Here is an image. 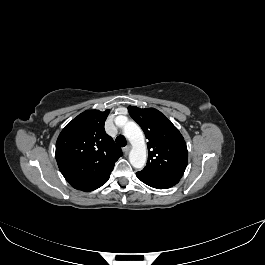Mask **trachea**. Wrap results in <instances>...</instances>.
<instances>
[{
	"instance_id": "obj_1",
	"label": "trachea",
	"mask_w": 265,
	"mask_h": 265,
	"mask_svg": "<svg viewBox=\"0 0 265 265\" xmlns=\"http://www.w3.org/2000/svg\"><path fill=\"white\" fill-rule=\"evenodd\" d=\"M116 143H117V145L118 146H120V147H125L126 146V144H127V141H126V139H125V137L124 136H118L117 138H116Z\"/></svg>"
}]
</instances>
